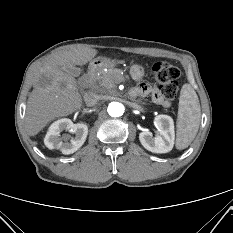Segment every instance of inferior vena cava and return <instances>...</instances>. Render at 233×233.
I'll return each mask as SVG.
<instances>
[{"label":"inferior vena cava","mask_w":233,"mask_h":233,"mask_svg":"<svg viewBox=\"0 0 233 233\" xmlns=\"http://www.w3.org/2000/svg\"><path fill=\"white\" fill-rule=\"evenodd\" d=\"M84 98H85V102L87 106L93 107L98 103L100 96L95 93L90 92L86 94Z\"/></svg>","instance_id":"obj_1"}]
</instances>
